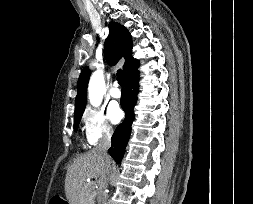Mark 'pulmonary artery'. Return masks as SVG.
<instances>
[{
  "label": "pulmonary artery",
  "mask_w": 253,
  "mask_h": 204,
  "mask_svg": "<svg viewBox=\"0 0 253 204\" xmlns=\"http://www.w3.org/2000/svg\"><path fill=\"white\" fill-rule=\"evenodd\" d=\"M110 94L112 97L114 98H119L121 96V90L120 88L118 87V84L117 83H114L113 84V87L111 88L110 90Z\"/></svg>",
  "instance_id": "e3ab8cb5"
}]
</instances>
